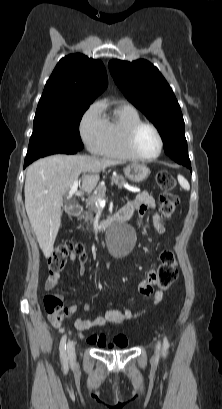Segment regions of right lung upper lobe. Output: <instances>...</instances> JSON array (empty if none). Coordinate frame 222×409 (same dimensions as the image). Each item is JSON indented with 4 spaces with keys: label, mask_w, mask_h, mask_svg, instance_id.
Listing matches in <instances>:
<instances>
[{
    "label": "right lung upper lobe",
    "mask_w": 222,
    "mask_h": 409,
    "mask_svg": "<svg viewBox=\"0 0 222 409\" xmlns=\"http://www.w3.org/2000/svg\"><path fill=\"white\" fill-rule=\"evenodd\" d=\"M105 67L100 60L83 54L62 58L48 79L37 109L91 104L107 87Z\"/></svg>",
    "instance_id": "1"
}]
</instances>
